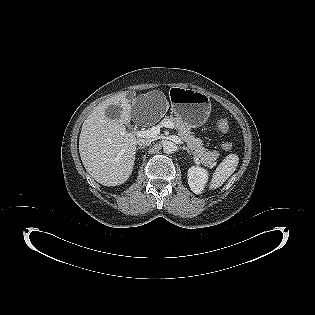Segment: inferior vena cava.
I'll return each instance as SVG.
<instances>
[{"label": "inferior vena cava", "instance_id": "inferior-vena-cava-1", "mask_svg": "<svg viewBox=\"0 0 315 315\" xmlns=\"http://www.w3.org/2000/svg\"><path fill=\"white\" fill-rule=\"evenodd\" d=\"M153 139L145 138V139H138L137 144L140 146H149L152 143Z\"/></svg>", "mask_w": 315, "mask_h": 315}]
</instances>
